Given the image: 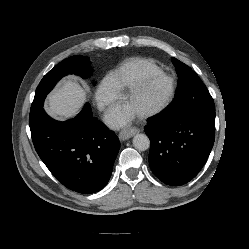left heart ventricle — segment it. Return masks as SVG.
Wrapping results in <instances>:
<instances>
[{
  "label": "left heart ventricle",
  "instance_id": "left-heart-ventricle-1",
  "mask_svg": "<svg viewBox=\"0 0 249 249\" xmlns=\"http://www.w3.org/2000/svg\"><path fill=\"white\" fill-rule=\"evenodd\" d=\"M169 89V81H156L144 89L132 101L128 102L127 107L135 114L155 107L166 97Z\"/></svg>",
  "mask_w": 249,
  "mask_h": 249
}]
</instances>
